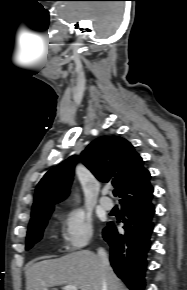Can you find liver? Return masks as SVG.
Returning a JSON list of instances; mask_svg holds the SVG:
<instances>
[{
	"mask_svg": "<svg viewBox=\"0 0 187 290\" xmlns=\"http://www.w3.org/2000/svg\"><path fill=\"white\" fill-rule=\"evenodd\" d=\"M123 290L113 269L103 266L99 257L88 250L32 263L26 269V290H44L59 285H75L81 290Z\"/></svg>",
	"mask_w": 187,
	"mask_h": 290,
	"instance_id": "liver-1",
	"label": "liver"
}]
</instances>
